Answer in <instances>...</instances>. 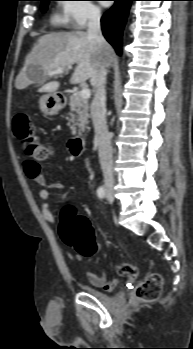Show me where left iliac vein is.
Listing matches in <instances>:
<instances>
[{"label": "left iliac vein", "mask_w": 193, "mask_h": 349, "mask_svg": "<svg viewBox=\"0 0 193 349\" xmlns=\"http://www.w3.org/2000/svg\"><path fill=\"white\" fill-rule=\"evenodd\" d=\"M106 198L110 202L113 201L114 200L113 193L112 192H108Z\"/></svg>", "instance_id": "1"}]
</instances>
